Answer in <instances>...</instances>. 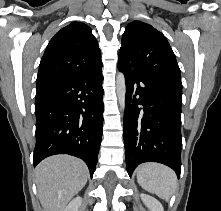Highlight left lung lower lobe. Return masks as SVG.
Returning a JSON list of instances; mask_svg holds the SVG:
<instances>
[{
    "label": "left lung lower lobe",
    "mask_w": 221,
    "mask_h": 211,
    "mask_svg": "<svg viewBox=\"0 0 221 211\" xmlns=\"http://www.w3.org/2000/svg\"><path fill=\"white\" fill-rule=\"evenodd\" d=\"M118 69L126 80L123 134L129 176L143 162H159L179 178L182 87L146 77L121 62Z\"/></svg>",
    "instance_id": "0a47b994"
}]
</instances>
